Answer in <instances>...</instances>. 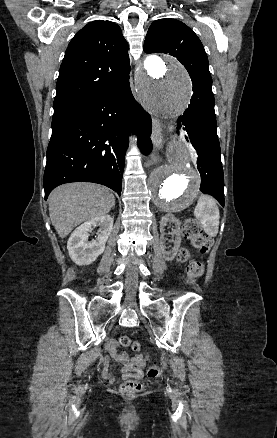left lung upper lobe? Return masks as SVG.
I'll return each instance as SVG.
<instances>
[{
	"label": "left lung upper lobe",
	"instance_id": "obj_1",
	"mask_svg": "<svg viewBox=\"0 0 277 438\" xmlns=\"http://www.w3.org/2000/svg\"><path fill=\"white\" fill-rule=\"evenodd\" d=\"M146 53H165L176 57L187 69L192 83L191 100H214L208 58L203 45L191 28L175 19H159L148 29L144 42Z\"/></svg>",
	"mask_w": 277,
	"mask_h": 438
}]
</instances>
